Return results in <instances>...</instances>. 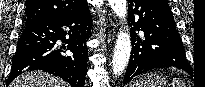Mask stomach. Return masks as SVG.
Wrapping results in <instances>:
<instances>
[{"label":"stomach","mask_w":205,"mask_h":87,"mask_svg":"<svg viewBox=\"0 0 205 87\" xmlns=\"http://www.w3.org/2000/svg\"><path fill=\"white\" fill-rule=\"evenodd\" d=\"M166 78L158 73L146 74L134 82L132 87H164Z\"/></svg>","instance_id":"0dacf381"}]
</instances>
